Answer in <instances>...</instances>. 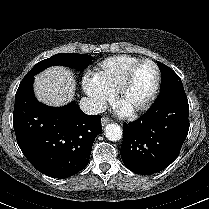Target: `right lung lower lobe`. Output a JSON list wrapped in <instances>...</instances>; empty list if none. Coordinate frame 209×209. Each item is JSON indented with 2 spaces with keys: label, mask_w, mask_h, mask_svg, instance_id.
<instances>
[{
  "label": "right lung lower lobe",
  "mask_w": 209,
  "mask_h": 209,
  "mask_svg": "<svg viewBox=\"0 0 209 209\" xmlns=\"http://www.w3.org/2000/svg\"><path fill=\"white\" fill-rule=\"evenodd\" d=\"M33 80L21 82L15 95L17 143L41 173L59 179L74 175L88 164L93 142L102 131L101 116L83 113L75 102L60 108L38 102Z\"/></svg>",
  "instance_id": "obj_1"
}]
</instances>
